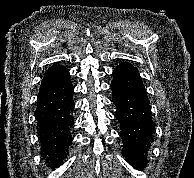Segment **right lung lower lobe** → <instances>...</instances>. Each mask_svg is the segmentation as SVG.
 Instances as JSON below:
<instances>
[{
	"instance_id": "1",
	"label": "right lung lower lobe",
	"mask_w": 194,
	"mask_h": 178,
	"mask_svg": "<svg viewBox=\"0 0 194 178\" xmlns=\"http://www.w3.org/2000/svg\"><path fill=\"white\" fill-rule=\"evenodd\" d=\"M74 88L68 70L41 81L37 108L34 112L41 140L42 159L55 169L69 148L73 126Z\"/></svg>"
}]
</instances>
